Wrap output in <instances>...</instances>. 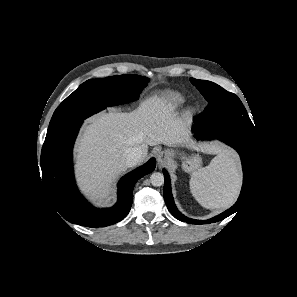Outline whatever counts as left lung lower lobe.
I'll return each instance as SVG.
<instances>
[{"label":"left lung lower lobe","instance_id":"1","mask_svg":"<svg viewBox=\"0 0 297 297\" xmlns=\"http://www.w3.org/2000/svg\"><path fill=\"white\" fill-rule=\"evenodd\" d=\"M192 132L195 133L197 139H219L229 146L233 147L239 153L243 168V185L238 201L230 209L211 219L195 220L187 218L179 212L174 203L170 186V178L167 171L163 169L165 178L163 190L164 200L171 214L180 221L187 222L189 224H208L218 222L237 212L239 208H241L246 202L251 193L254 181V174L257 170L258 163V143L256 140V136L244 130L229 126L201 128L194 124L192 127Z\"/></svg>","mask_w":297,"mask_h":297}]
</instances>
